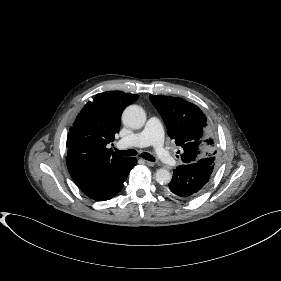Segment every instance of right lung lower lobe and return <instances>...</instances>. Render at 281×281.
Instances as JSON below:
<instances>
[{
  "instance_id": "obj_1",
  "label": "right lung lower lobe",
  "mask_w": 281,
  "mask_h": 281,
  "mask_svg": "<svg viewBox=\"0 0 281 281\" xmlns=\"http://www.w3.org/2000/svg\"><path fill=\"white\" fill-rule=\"evenodd\" d=\"M136 158H127L121 167L115 171L100 187L86 193L96 201L109 200L116 196L123 188L130 170L136 165Z\"/></svg>"
}]
</instances>
